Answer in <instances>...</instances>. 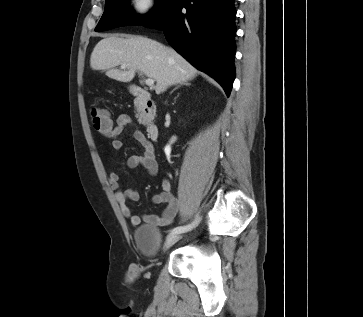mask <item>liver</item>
Listing matches in <instances>:
<instances>
[{
	"instance_id": "6515ba94",
	"label": "liver",
	"mask_w": 363,
	"mask_h": 317,
	"mask_svg": "<svg viewBox=\"0 0 363 317\" xmlns=\"http://www.w3.org/2000/svg\"><path fill=\"white\" fill-rule=\"evenodd\" d=\"M122 64L127 70L115 69ZM90 66L93 70L106 71L109 78L121 82H130L135 72L141 71L156 81V94L197 75V70L174 49L139 36L105 37L94 47Z\"/></svg>"
}]
</instances>
